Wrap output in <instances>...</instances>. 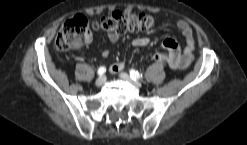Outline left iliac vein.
<instances>
[{
  "label": "left iliac vein",
  "mask_w": 247,
  "mask_h": 145,
  "mask_svg": "<svg viewBox=\"0 0 247 145\" xmlns=\"http://www.w3.org/2000/svg\"><path fill=\"white\" fill-rule=\"evenodd\" d=\"M119 77L137 88L141 87V83L139 81L133 80L127 73L121 72Z\"/></svg>",
  "instance_id": "left-iliac-vein-1"
}]
</instances>
